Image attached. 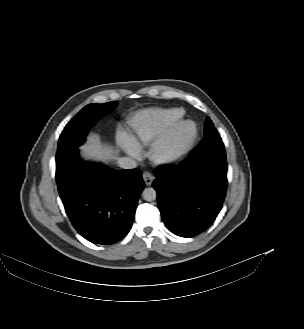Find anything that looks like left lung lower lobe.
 Returning a JSON list of instances; mask_svg holds the SVG:
<instances>
[{
	"instance_id": "obj_1",
	"label": "left lung lower lobe",
	"mask_w": 304,
	"mask_h": 329,
	"mask_svg": "<svg viewBox=\"0 0 304 329\" xmlns=\"http://www.w3.org/2000/svg\"><path fill=\"white\" fill-rule=\"evenodd\" d=\"M165 226L181 237L205 231L222 208L227 189V161L216 129L179 165L159 172L153 183Z\"/></svg>"
}]
</instances>
